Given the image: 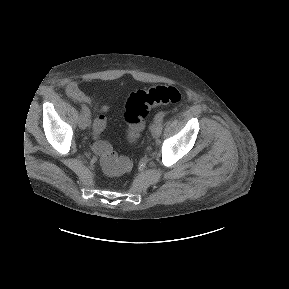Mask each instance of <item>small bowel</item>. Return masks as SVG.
Returning <instances> with one entry per match:
<instances>
[{"instance_id": "c3829d8e", "label": "small bowel", "mask_w": 289, "mask_h": 289, "mask_svg": "<svg viewBox=\"0 0 289 289\" xmlns=\"http://www.w3.org/2000/svg\"><path fill=\"white\" fill-rule=\"evenodd\" d=\"M66 94L69 98L74 101L80 102L83 105L91 102V99L88 95H86L77 85L76 82H69L66 85ZM102 112L108 111V106L104 105L101 107Z\"/></svg>"}]
</instances>
